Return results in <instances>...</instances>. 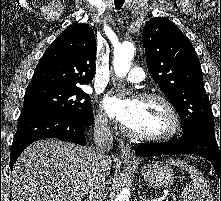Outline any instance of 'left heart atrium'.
<instances>
[{
    "instance_id": "left-heart-atrium-1",
    "label": "left heart atrium",
    "mask_w": 221,
    "mask_h": 201,
    "mask_svg": "<svg viewBox=\"0 0 221 201\" xmlns=\"http://www.w3.org/2000/svg\"><path fill=\"white\" fill-rule=\"evenodd\" d=\"M133 100L123 99L118 96H107L103 100V107L108 114L114 120L124 123L132 110Z\"/></svg>"
}]
</instances>
